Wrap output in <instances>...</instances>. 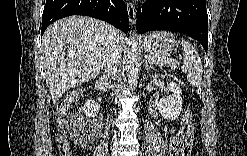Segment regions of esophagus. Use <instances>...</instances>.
Returning a JSON list of instances; mask_svg holds the SVG:
<instances>
[{"label":"esophagus","instance_id":"obj_1","mask_svg":"<svg viewBox=\"0 0 247 156\" xmlns=\"http://www.w3.org/2000/svg\"><path fill=\"white\" fill-rule=\"evenodd\" d=\"M127 10H128V16L130 24L133 26L136 22V8L135 5L131 2L127 3Z\"/></svg>","mask_w":247,"mask_h":156}]
</instances>
